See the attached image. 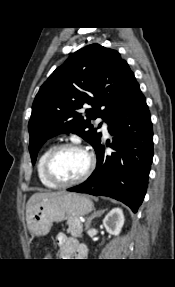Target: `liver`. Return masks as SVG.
Instances as JSON below:
<instances>
[{"mask_svg":"<svg viewBox=\"0 0 175 287\" xmlns=\"http://www.w3.org/2000/svg\"><path fill=\"white\" fill-rule=\"evenodd\" d=\"M63 192H46V193H35L33 194L26 204V215L28 211L38 202L45 198L54 197L62 194Z\"/></svg>","mask_w":175,"mask_h":287,"instance_id":"1","label":"liver"}]
</instances>
